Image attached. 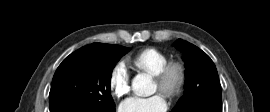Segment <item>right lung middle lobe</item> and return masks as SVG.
Masks as SVG:
<instances>
[{"label": "right lung middle lobe", "instance_id": "1", "mask_svg": "<svg viewBox=\"0 0 270 112\" xmlns=\"http://www.w3.org/2000/svg\"><path fill=\"white\" fill-rule=\"evenodd\" d=\"M129 48L93 43L73 52L57 68L49 93L50 108L66 105L115 107L110 78L115 63Z\"/></svg>", "mask_w": 270, "mask_h": 112}]
</instances>
